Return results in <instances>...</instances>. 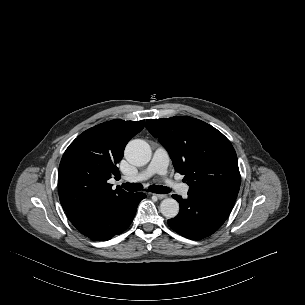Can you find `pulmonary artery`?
<instances>
[{
	"mask_svg": "<svg viewBox=\"0 0 305 305\" xmlns=\"http://www.w3.org/2000/svg\"><path fill=\"white\" fill-rule=\"evenodd\" d=\"M168 164L169 155L163 147L159 146L155 149L152 160L145 170L134 176L125 177L124 180L129 182H139L146 180L155 174L164 176L167 173ZM166 182L172 187L176 188L181 195H187L189 191L188 185L180 184L173 180H167Z\"/></svg>",
	"mask_w": 305,
	"mask_h": 305,
	"instance_id": "obj_1",
	"label": "pulmonary artery"
}]
</instances>
